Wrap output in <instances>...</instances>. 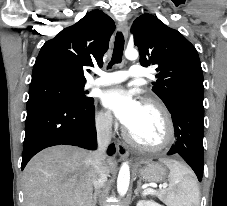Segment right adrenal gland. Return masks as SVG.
Masks as SVG:
<instances>
[{"mask_svg":"<svg viewBox=\"0 0 227 206\" xmlns=\"http://www.w3.org/2000/svg\"><path fill=\"white\" fill-rule=\"evenodd\" d=\"M98 194H99V191L96 190L95 193H94V196H93V204H92V206H96Z\"/></svg>","mask_w":227,"mask_h":206,"instance_id":"1","label":"right adrenal gland"}]
</instances>
